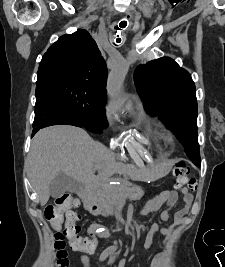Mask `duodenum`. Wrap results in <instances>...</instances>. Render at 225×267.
<instances>
[{
    "mask_svg": "<svg viewBox=\"0 0 225 267\" xmlns=\"http://www.w3.org/2000/svg\"><path fill=\"white\" fill-rule=\"evenodd\" d=\"M95 202H92V198H91V195H87L86 196V200H85V209L87 211H90V210H95Z\"/></svg>",
    "mask_w": 225,
    "mask_h": 267,
    "instance_id": "duodenum-1",
    "label": "duodenum"
}]
</instances>
